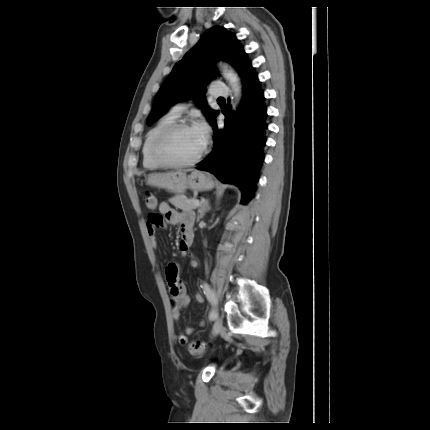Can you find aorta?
<instances>
[{
	"label": "aorta",
	"mask_w": 430,
	"mask_h": 430,
	"mask_svg": "<svg viewBox=\"0 0 430 430\" xmlns=\"http://www.w3.org/2000/svg\"><path fill=\"white\" fill-rule=\"evenodd\" d=\"M219 70L228 82L233 92V96L235 98L233 107H236L242 96V85L240 77L237 72L226 63H219Z\"/></svg>",
	"instance_id": "762f6f07"
}]
</instances>
